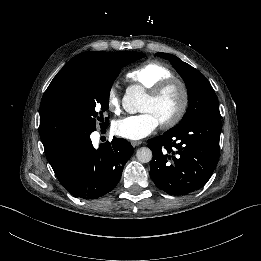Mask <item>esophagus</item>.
Instances as JSON below:
<instances>
[{"label": "esophagus", "mask_w": 261, "mask_h": 261, "mask_svg": "<svg viewBox=\"0 0 261 261\" xmlns=\"http://www.w3.org/2000/svg\"><path fill=\"white\" fill-rule=\"evenodd\" d=\"M141 143H142V141H140V140L131 141V145H132L133 147L139 146Z\"/></svg>", "instance_id": "1"}]
</instances>
